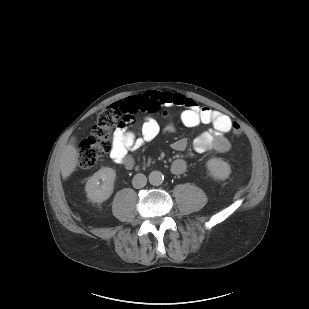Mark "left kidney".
Here are the masks:
<instances>
[{
    "instance_id": "1",
    "label": "left kidney",
    "mask_w": 309,
    "mask_h": 309,
    "mask_svg": "<svg viewBox=\"0 0 309 309\" xmlns=\"http://www.w3.org/2000/svg\"><path fill=\"white\" fill-rule=\"evenodd\" d=\"M207 168L212 177L218 180H225L231 173L230 165L220 158H212L207 162Z\"/></svg>"
}]
</instances>
